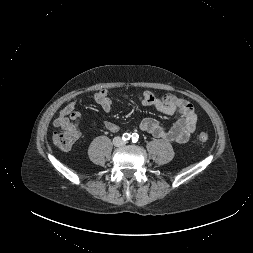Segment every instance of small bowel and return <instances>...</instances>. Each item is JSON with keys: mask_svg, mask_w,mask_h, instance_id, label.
Returning a JSON list of instances; mask_svg holds the SVG:
<instances>
[{"mask_svg": "<svg viewBox=\"0 0 253 253\" xmlns=\"http://www.w3.org/2000/svg\"><path fill=\"white\" fill-rule=\"evenodd\" d=\"M94 101L104 112H111L112 103L106 89L96 92L94 94ZM139 101L142 105L154 107L163 114L178 115L177 121L168 129L163 128L153 118H143L138 122V126L142 131L156 138H162L179 144L186 143L194 133L197 124V115L193 106L186 100L173 94L157 96L151 91H145L139 97ZM77 102L78 97L71 98L58 112L53 122L55 127L72 132L75 141L80 136L79 126L82 120L81 113L76 110ZM104 127L110 132H117L119 129L112 122H105Z\"/></svg>", "mask_w": 253, "mask_h": 253, "instance_id": "obj_1", "label": "small bowel"}]
</instances>
